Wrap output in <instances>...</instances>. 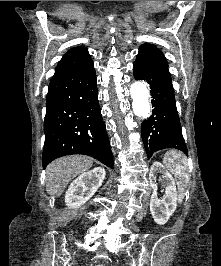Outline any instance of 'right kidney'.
Instances as JSON below:
<instances>
[{
    "mask_svg": "<svg viewBox=\"0 0 221 266\" xmlns=\"http://www.w3.org/2000/svg\"><path fill=\"white\" fill-rule=\"evenodd\" d=\"M105 175V169L102 167H96L79 175L66 191V205L69 208H78L86 203L102 185Z\"/></svg>",
    "mask_w": 221,
    "mask_h": 266,
    "instance_id": "obj_1",
    "label": "right kidney"
}]
</instances>
